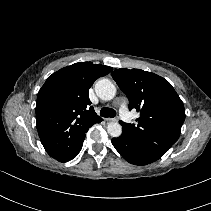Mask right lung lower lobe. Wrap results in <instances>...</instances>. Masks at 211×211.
Returning a JSON list of instances; mask_svg holds the SVG:
<instances>
[{
	"label": "right lung lower lobe",
	"mask_w": 211,
	"mask_h": 211,
	"mask_svg": "<svg viewBox=\"0 0 211 211\" xmlns=\"http://www.w3.org/2000/svg\"><path fill=\"white\" fill-rule=\"evenodd\" d=\"M85 133L86 132L82 133L78 137L77 145L75 146V148L67 156H65L62 159H59L58 161H60V162H67V161L72 160L73 158H75L78 155V153L80 152V150L82 148V145H83V141H84V138H85Z\"/></svg>",
	"instance_id": "98d812e1"
}]
</instances>
